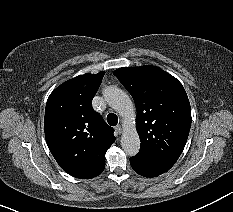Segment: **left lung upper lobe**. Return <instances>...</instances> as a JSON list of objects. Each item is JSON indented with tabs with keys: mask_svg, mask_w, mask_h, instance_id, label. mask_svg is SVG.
Listing matches in <instances>:
<instances>
[{
	"mask_svg": "<svg viewBox=\"0 0 233 212\" xmlns=\"http://www.w3.org/2000/svg\"><path fill=\"white\" fill-rule=\"evenodd\" d=\"M114 75L135 102L139 153L175 164L191 127L190 103L182 84L156 66L123 67Z\"/></svg>",
	"mask_w": 233,
	"mask_h": 212,
	"instance_id": "5c2ea615",
	"label": "left lung upper lobe"
}]
</instances>
